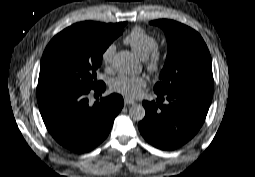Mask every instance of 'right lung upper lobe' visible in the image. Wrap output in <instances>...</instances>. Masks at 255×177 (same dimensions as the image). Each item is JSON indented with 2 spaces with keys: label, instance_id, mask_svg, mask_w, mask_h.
<instances>
[{
  "label": "right lung upper lobe",
  "instance_id": "right-lung-upper-lobe-1",
  "mask_svg": "<svg viewBox=\"0 0 255 177\" xmlns=\"http://www.w3.org/2000/svg\"><path fill=\"white\" fill-rule=\"evenodd\" d=\"M80 24L88 25L91 27L99 28L105 31H114L118 28L119 23L117 24H104V23H97V22H92V21H87V22H81Z\"/></svg>",
  "mask_w": 255,
  "mask_h": 177
}]
</instances>
